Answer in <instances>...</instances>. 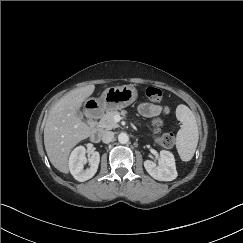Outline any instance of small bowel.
I'll list each match as a JSON object with an SVG mask.
<instances>
[{
    "mask_svg": "<svg viewBox=\"0 0 243 243\" xmlns=\"http://www.w3.org/2000/svg\"><path fill=\"white\" fill-rule=\"evenodd\" d=\"M139 112L142 116L151 118L160 114L168 115L170 113V107L167 105L142 103L139 106Z\"/></svg>",
    "mask_w": 243,
    "mask_h": 243,
    "instance_id": "c3829d8e",
    "label": "small bowel"
}]
</instances>
